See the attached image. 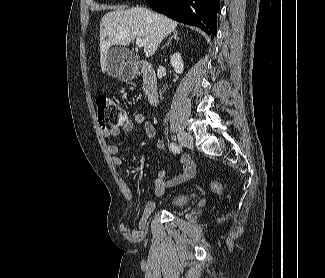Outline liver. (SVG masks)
<instances>
[{"label": "liver", "mask_w": 325, "mask_h": 278, "mask_svg": "<svg viewBox=\"0 0 325 278\" xmlns=\"http://www.w3.org/2000/svg\"><path fill=\"white\" fill-rule=\"evenodd\" d=\"M178 23L169 17L143 7L115 8L103 16L100 23V65L107 67L109 47L127 46L134 39L144 40V53L151 57L161 41L176 30Z\"/></svg>", "instance_id": "obj_1"}]
</instances>
